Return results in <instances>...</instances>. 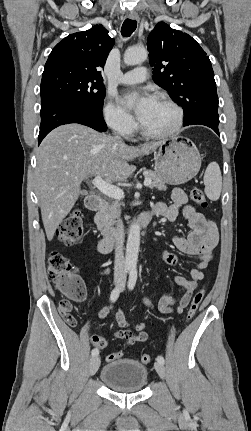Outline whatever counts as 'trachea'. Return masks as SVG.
<instances>
[{
	"label": "trachea",
	"mask_w": 251,
	"mask_h": 431,
	"mask_svg": "<svg viewBox=\"0 0 251 431\" xmlns=\"http://www.w3.org/2000/svg\"><path fill=\"white\" fill-rule=\"evenodd\" d=\"M137 27V22L135 20L126 19L121 27V34L123 37H129Z\"/></svg>",
	"instance_id": "obj_1"
}]
</instances>
